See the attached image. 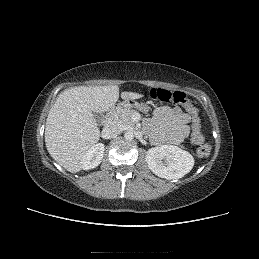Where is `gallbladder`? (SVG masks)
<instances>
[{"label":"gallbladder","instance_id":"gallbladder-1","mask_svg":"<svg viewBox=\"0 0 259 259\" xmlns=\"http://www.w3.org/2000/svg\"><path fill=\"white\" fill-rule=\"evenodd\" d=\"M93 116L97 124H101L104 120V114L100 112H94Z\"/></svg>","mask_w":259,"mask_h":259}]
</instances>
